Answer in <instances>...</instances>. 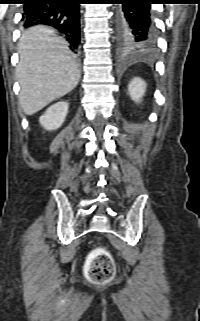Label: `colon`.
I'll use <instances>...</instances> for the list:
<instances>
[{
  "label": "colon",
  "instance_id": "obj_1",
  "mask_svg": "<svg viewBox=\"0 0 200 321\" xmlns=\"http://www.w3.org/2000/svg\"><path fill=\"white\" fill-rule=\"evenodd\" d=\"M115 273L111 255L103 248L95 249L89 256L86 274L93 282H107Z\"/></svg>",
  "mask_w": 200,
  "mask_h": 321
}]
</instances>
